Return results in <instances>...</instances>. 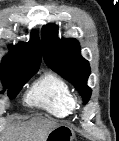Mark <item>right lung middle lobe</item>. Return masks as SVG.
Segmentation results:
<instances>
[{
	"instance_id": "obj_1",
	"label": "right lung middle lobe",
	"mask_w": 119,
	"mask_h": 141,
	"mask_svg": "<svg viewBox=\"0 0 119 141\" xmlns=\"http://www.w3.org/2000/svg\"><path fill=\"white\" fill-rule=\"evenodd\" d=\"M37 71L26 74H0L2 83L5 88H8V95L11 99L16 97L23 85L36 73Z\"/></svg>"
}]
</instances>
